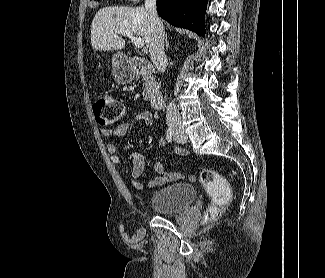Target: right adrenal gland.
I'll list each match as a JSON object with an SVG mask.
<instances>
[{
    "label": "right adrenal gland",
    "instance_id": "right-adrenal-gland-1",
    "mask_svg": "<svg viewBox=\"0 0 325 278\" xmlns=\"http://www.w3.org/2000/svg\"><path fill=\"white\" fill-rule=\"evenodd\" d=\"M165 47H166V50H168V48H169V42H168L167 33L165 34Z\"/></svg>",
    "mask_w": 325,
    "mask_h": 278
}]
</instances>
